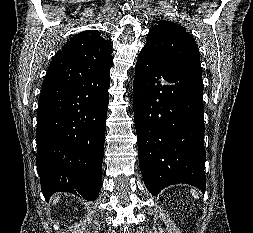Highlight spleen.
<instances>
[{"label":"spleen","instance_id":"3e777b00","mask_svg":"<svg viewBox=\"0 0 253 233\" xmlns=\"http://www.w3.org/2000/svg\"><path fill=\"white\" fill-rule=\"evenodd\" d=\"M191 193H192V195L194 196V198H199V195H198V193L196 192V190H194V189H191Z\"/></svg>","mask_w":253,"mask_h":233}]
</instances>
